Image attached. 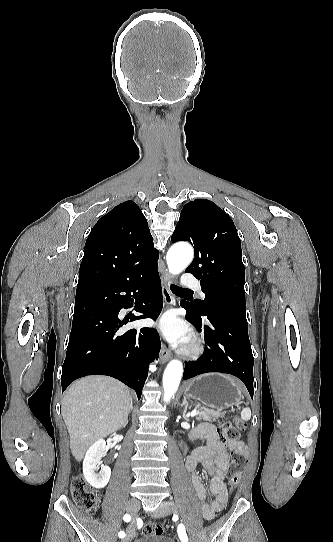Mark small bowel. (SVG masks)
<instances>
[{"mask_svg": "<svg viewBox=\"0 0 333 542\" xmlns=\"http://www.w3.org/2000/svg\"><path fill=\"white\" fill-rule=\"evenodd\" d=\"M197 437L205 436L206 446L195 449L186 460V469L192 472V484L198 499L203 502L202 514L207 520L215 517L216 513L223 510L227 503L226 483L224 478L227 474L230 458L228 451L237 455L247 456L248 448L244 441L222 443L213 426L201 424L193 431ZM201 463L210 475L208 488L204 485L200 474L196 471L197 464ZM212 498L206 502L207 492ZM139 529L130 525L126 529L128 541H132L138 534Z\"/></svg>", "mask_w": 333, "mask_h": 542, "instance_id": "c3829d8e", "label": "small bowel"}]
</instances>
